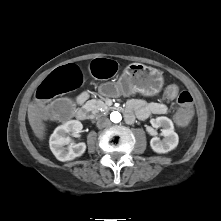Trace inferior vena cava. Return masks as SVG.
I'll list each match as a JSON object with an SVG mask.
<instances>
[{"mask_svg": "<svg viewBox=\"0 0 221 221\" xmlns=\"http://www.w3.org/2000/svg\"><path fill=\"white\" fill-rule=\"evenodd\" d=\"M110 124L111 122L107 117L98 118L97 123H96L98 128H105V127L110 126Z\"/></svg>", "mask_w": 221, "mask_h": 221, "instance_id": "602c4592", "label": "inferior vena cava"}]
</instances>
